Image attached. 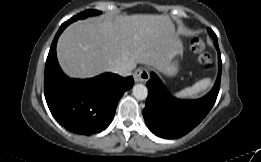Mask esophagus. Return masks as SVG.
I'll use <instances>...</instances> for the list:
<instances>
[{
	"label": "esophagus",
	"mask_w": 261,
	"mask_h": 162,
	"mask_svg": "<svg viewBox=\"0 0 261 162\" xmlns=\"http://www.w3.org/2000/svg\"><path fill=\"white\" fill-rule=\"evenodd\" d=\"M149 72L145 68H139L134 73L135 82H146L149 79Z\"/></svg>",
	"instance_id": "1"
}]
</instances>
